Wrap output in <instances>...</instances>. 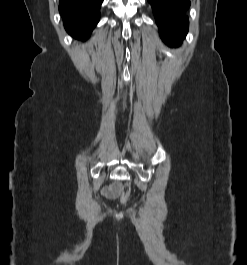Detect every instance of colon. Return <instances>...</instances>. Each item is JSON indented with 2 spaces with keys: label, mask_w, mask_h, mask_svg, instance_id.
Listing matches in <instances>:
<instances>
[{
  "label": "colon",
  "mask_w": 247,
  "mask_h": 265,
  "mask_svg": "<svg viewBox=\"0 0 247 265\" xmlns=\"http://www.w3.org/2000/svg\"><path fill=\"white\" fill-rule=\"evenodd\" d=\"M131 187L129 184H124L122 186V192H121V201L126 202L129 195H130Z\"/></svg>",
  "instance_id": "obj_1"
}]
</instances>
